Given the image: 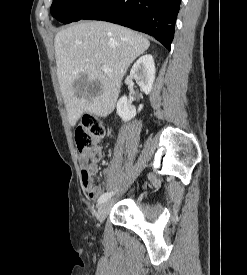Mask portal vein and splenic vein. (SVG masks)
<instances>
[{
  "instance_id": "1",
  "label": "portal vein and splenic vein",
  "mask_w": 247,
  "mask_h": 275,
  "mask_svg": "<svg viewBox=\"0 0 247 275\" xmlns=\"http://www.w3.org/2000/svg\"><path fill=\"white\" fill-rule=\"evenodd\" d=\"M102 70L104 71V72H106V73H108V72H111L112 70L109 68V67H107V66H102Z\"/></svg>"
}]
</instances>
